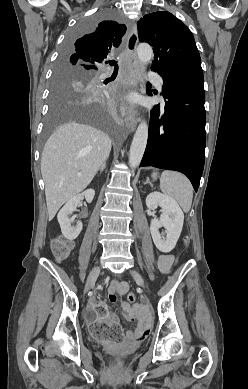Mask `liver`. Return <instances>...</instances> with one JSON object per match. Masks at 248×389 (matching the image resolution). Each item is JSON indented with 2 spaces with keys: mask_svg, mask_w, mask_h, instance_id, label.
<instances>
[{
  "mask_svg": "<svg viewBox=\"0 0 248 389\" xmlns=\"http://www.w3.org/2000/svg\"><path fill=\"white\" fill-rule=\"evenodd\" d=\"M111 145L106 133L77 122L65 123L51 134L41 157L49 220L91 183Z\"/></svg>",
  "mask_w": 248,
  "mask_h": 389,
  "instance_id": "liver-1",
  "label": "liver"
}]
</instances>
